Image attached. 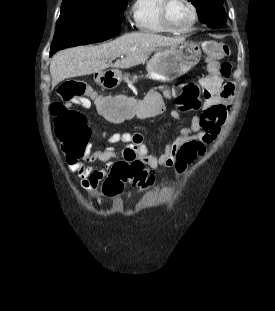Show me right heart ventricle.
Segmentation results:
<instances>
[{
  "mask_svg": "<svg viewBox=\"0 0 275 311\" xmlns=\"http://www.w3.org/2000/svg\"><path fill=\"white\" fill-rule=\"evenodd\" d=\"M162 0H134L131 8L136 28L149 34L169 33L160 19Z\"/></svg>",
  "mask_w": 275,
  "mask_h": 311,
  "instance_id": "obj_1",
  "label": "right heart ventricle"
}]
</instances>
